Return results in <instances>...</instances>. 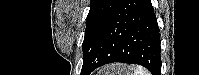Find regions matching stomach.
I'll return each mask as SVG.
<instances>
[{"label":"stomach","instance_id":"0dacf381","mask_svg":"<svg viewBox=\"0 0 199 75\" xmlns=\"http://www.w3.org/2000/svg\"><path fill=\"white\" fill-rule=\"evenodd\" d=\"M114 70H111L112 68H109L110 70H107V75H124L125 74V67L121 65H115L113 66Z\"/></svg>","mask_w":199,"mask_h":75}]
</instances>
